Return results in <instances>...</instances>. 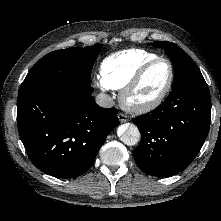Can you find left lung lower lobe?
I'll return each mask as SVG.
<instances>
[{"label":"left lung lower lobe","instance_id":"left-lung-lower-lobe-1","mask_svg":"<svg viewBox=\"0 0 221 221\" xmlns=\"http://www.w3.org/2000/svg\"><path fill=\"white\" fill-rule=\"evenodd\" d=\"M211 98L207 84L171 91L156 109L133 119L141 132L134 150L137 166L146 174L174 175L200 151L210 127Z\"/></svg>","mask_w":221,"mask_h":221}]
</instances>
